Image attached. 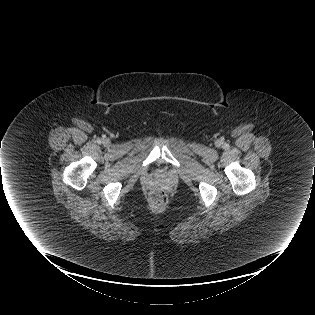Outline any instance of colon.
Wrapping results in <instances>:
<instances>
[{"instance_id": "5ec220e1", "label": "colon", "mask_w": 315, "mask_h": 315, "mask_svg": "<svg viewBox=\"0 0 315 315\" xmlns=\"http://www.w3.org/2000/svg\"><path fill=\"white\" fill-rule=\"evenodd\" d=\"M150 200L154 206H162L167 201V193L162 187H153L150 191Z\"/></svg>"}]
</instances>
